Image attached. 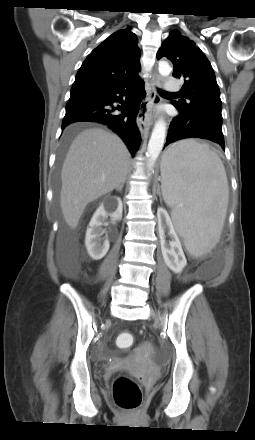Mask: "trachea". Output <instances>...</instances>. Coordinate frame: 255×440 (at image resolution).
<instances>
[{"instance_id": "1", "label": "trachea", "mask_w": 255, "mask_h": 440, "mask_svg": "<svg viewBox=\"0 0 255 440\" xmlns=\"http://www.w3.org/2000/svg\"><path fill=\"white\" fill-rule=\"evenodd\" d=\"M159 92H160L161 94H166V95H178V93H170V92H166V91H164V90H159Z\"/></svg>"}]
</instances>
